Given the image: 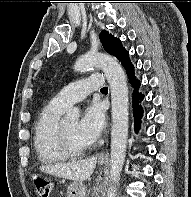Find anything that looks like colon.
I'll use <instances>...</instances> for the list:
<instances>
[{
  "label": "colon",
  "mask_w": 191,
  "mask_h": 197,
  "mask_svg": "<svg viewBox=\"0 0 191 197\" xmlns=\"http://www.w3.org/2000/svg\"><path fill=\"white\" fill-rule=\"evenodd\" d=\"M36 193L39 197H49L51 193V185L43 177L34 175L32 177Z\"/></svg>",
  "instance_id": "5ec220e1"
}]
</instances>
